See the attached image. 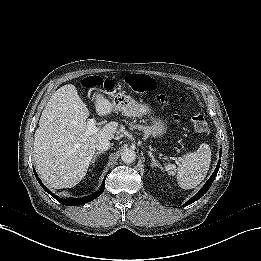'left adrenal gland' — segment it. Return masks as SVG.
<instances>
[{"instance_id":"1","label":"left adrenal gland","mask_w":261,"mask_h":261,"mask_svg":"<svg viewBox=\"0 0 261 261\" xmlns=\"http://www.w3.org/2000/svg\"><path fill=\"white\" fill-rule=\"evenodd\" d=\"M148 155L150 156V158H151V160H152V166H153V167L162 168L161 164L159 163V161H157V160L154 158V155L152 154L151 151H148Z\"/></svg>"}]
</instances>
